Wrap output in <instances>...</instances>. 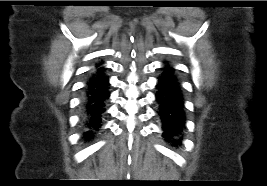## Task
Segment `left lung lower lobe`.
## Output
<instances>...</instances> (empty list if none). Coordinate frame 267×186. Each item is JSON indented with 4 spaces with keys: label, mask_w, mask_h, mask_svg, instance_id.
I'll list each match as a JSON object with an SVG mask.
<instances>
[{
    "label": "left lung lower lobe",
    "mask_w": 267,
    "mask_h": 186,
    "mask_svg": "<svg viewBox=\"0 0 267 186\" xmlns=\"http://www.w3.org/2000/svg\"><path fill=\"white\" fill-rule=\"evenodd\" d=\"M162 70L156 85L157 113L162 122L163 137L177 144L182 139L180 136L185 127L183 93L174 69L165 63Z\"/></svg>",
    "instance_id": "obj_1"
}]
</instances>
